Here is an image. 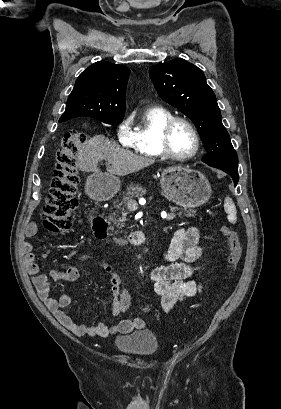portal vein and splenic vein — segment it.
Listing matches in <instances>:
<instances>
[{"label":"portal vein and splenic vein","instance_id":"portal-vein-and-splenic-vein-1","mask_svg":"<svg viewBox=\"0 0 281 409\" xmlns=\"http://www.w3.org/2000/svg\"><path fill=\"white\" fill-rule=\"evenodd\" d=\"M108 164H109V162H108ZM137 202L135 201V200H130L129 201V208L133 211V212H136L137 211ZM176 216V213L175 212H171V213H169V215H167L166 217H165V219H167V220H170V219H174V217Z\"/></svg>","mask_w":281,"mask_h":409}]
</instances>
